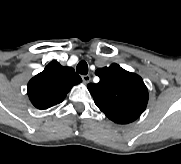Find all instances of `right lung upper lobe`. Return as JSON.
<instances>
[{
    "label": "right lung upper lobe",
    "mask_w": 181,
    "mask_h": 164,
    "mask_svg": "<svg viewBox=\"0 0 181 164\" xmlns=\"http://www.w3.org/2000/svg\"><path fill=\"white\" fill-rule=\"evenodd\" d=\"M81 81L73 68L52 61L29 81L27 93L32 104L43 110L61 103L70 89Z\"/></svg>",
    "instance_id": "cb5924a9"
}]
</instances>
